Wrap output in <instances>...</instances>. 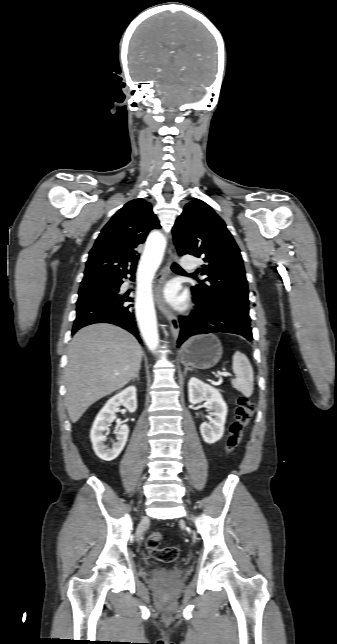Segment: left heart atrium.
I'll use <instances>...</instances> for the list:
<instances>
[{"instance_id": "39dd6f15", "label": "left heart atrium", "mask_w": 337, "mask_h": 644, "mask_svg": "<svg viewBox=\"0 0 337 644\" xmlns=\"http://www.w3.org/2000/svg\"><path fill=\"white\" fill-rule=\"evenodd\" d=\"M165 294L168 301H170L172 304L178 307H181L184 304V297L177 295L176 287L174 285H169L165 291Z\"/></svg>"}]
</instances>
